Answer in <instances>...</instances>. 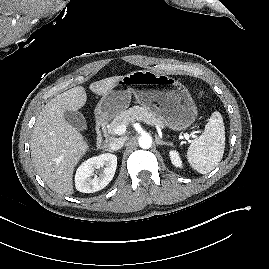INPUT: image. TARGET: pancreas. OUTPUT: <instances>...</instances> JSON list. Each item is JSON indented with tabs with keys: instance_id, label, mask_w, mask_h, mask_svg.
<instances>
[{
	"instance_id": "obj_1",
	"label": "pancreas",
	"mask_w": 269,
	"mask_h": 269,
	"mask_svg": "<svg viewBox=\"0 0 269 269\" xmlns=\"http://www.w3.org/2000/svg\"><path fill=\"white\" fill-rule=\"evenodd\" d=\"M134 121H143L147 124L158 125L163 127V123L158 119L155 114L147 108L134 106L128 110L122 111L109 125V133L114 134V129L118 125H128Z\"/></svg>"
}]
</instances>
